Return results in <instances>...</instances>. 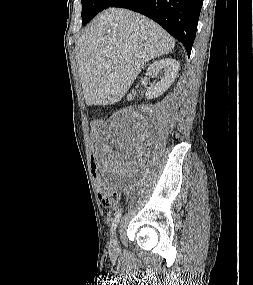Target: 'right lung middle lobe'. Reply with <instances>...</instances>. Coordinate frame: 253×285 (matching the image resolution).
<instances>
[{
  "label": "right lung middle lobe",
  "instance_id": "right-lung-middle-lobe-1",
  "mask_svg": "<svg viewBox=\"0 0 253 285\" xmlns=\"http://www.w3.org/2000/svg\"><path fill=\"white\" fill-rule=\"evenodd\" d=\"M117 0H81L82 3V24H86L97 13L110 7Z\"/></svg>",
  "mask_w": 253,
  "mask_h": 285
}]
</instances>
